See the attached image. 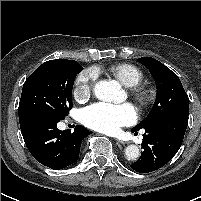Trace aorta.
Returning <instances> with one entry per match:
<instances>
[{
    "mask_svg": "<svg viewBox=\"0 0 201 201\" xmlns=\"http://www.w3.org/2000/svg\"><path fill=\"white\" fill-rule=\"evenodd\" d=\"M120 93V85L114 81H99L94 86L96 98L102 101H114ZM125 156L129 160H137L140 156L139 148L136 145H128L125 148Z\"/></svg>",
    "mask_w": 201,
    "mask_h": 201,
    "instance_id": "762f6f07",
    "label": "aorta"
}]
</instances>
